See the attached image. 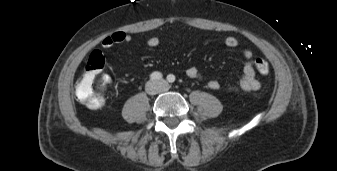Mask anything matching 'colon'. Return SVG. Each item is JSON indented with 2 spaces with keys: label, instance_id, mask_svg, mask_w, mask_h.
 Masks as SVG:
<instances>
[{
  "label": "colon",
  "instance_id": "colon-1",
  "mask_svg": "<svg viewBox=\"0 0 337 171\" xmlns=\"http://www.w3.org/2000/svg\"><path fill=\"white\" fill-rule=\"evenodd\" d=\"M255 66L260 74L269 72V64L264 58H257ZM103 67V55L99 51H93L88 58L85 71L75 87L76 99L91 109H98L103 105V96L100 92L104 84Z\"/></svg>",
  "mask_w": 337,
  "mask_h": 171
}]
</instances>
